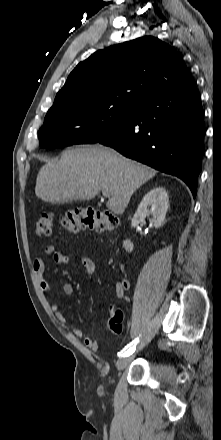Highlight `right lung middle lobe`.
Segmentation results:
<instances>
[{"instance_id":"right-lung-middle-lobe-1","label":"right lung middle lobe","mask_w":221,"mask_h":440,"mask_svg":"<svg viewBox=\"0 0 221 440\" xmlns=\"http://www.w3.org/2000/svg\"><path fill=\"white\" fill-rule=\"evenodd\" d=\"M133 109L117 103H104L74 104L49 110L38 132L39 145L53 149L97 143L121 127Z\"/></svg>"}]
</instances>
